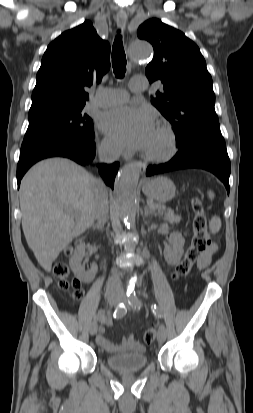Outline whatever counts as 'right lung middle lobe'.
I'll return each instance as SVG.
<instances>
[{
	"label": "right lung middle lobe",
	"instance_id": "obj_1",
	"mask_svg": "<svg viewBox=\"0 0 253 413\" xmlns=\"http://www.w3.org/2000/svg\"><path fill=\"white\" fill-rule=\"evenodd\" d=\"M83 107H52L29 112V126L21 150L57 141L92 139L93 122L82 113Z\"/></svg>",
	"mask_w": 253,
	"mask_h": 413
}]
</instances>
